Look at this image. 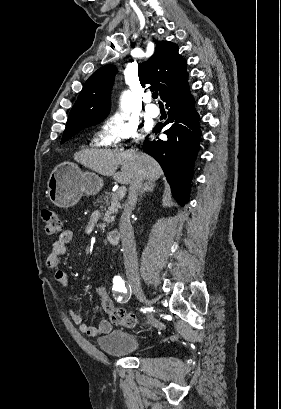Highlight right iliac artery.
I'll list each match as a JSON object with an SVG mask.
<instances>
[{
    "label": "right iliac artery",
    "instance_id": "1",
    "mask_svg": "<svg viewBox=\"0 0 281 409\" xmlns=\"http://www.w3.org/2000/svg\"><path fill=\"white\" fill-rule=\"evenodd\" d=\"M113 291L118 302H127L131 298V287L120 276L113 278Z\"/></svg>",
    "mask_w": 281,
    "mask_h": 409
}]
</instances>
